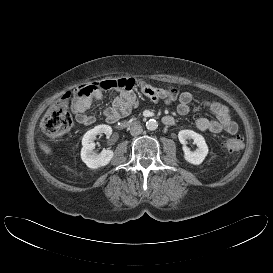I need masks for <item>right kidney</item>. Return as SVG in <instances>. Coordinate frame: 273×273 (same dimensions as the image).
<instances>
[{
	"label": "right kidney",
	"mask_w": 273,
	"mask_h": 273,
	"mask_svg": "<svg viewBox=\"0 0 273 273\" xmlns=\"http://www.w3.org/2000/svg\"><path fill=\"white\" fill-rule=\"evenodd\" d=\"M106 134L110 136L112 134V128L109 125H98L93 129L87 131L82 138L81 158L82 161L91 169H97L99 167L106 166L113 158L114 152L109 149H103L99 154L94 151L97 135Z\"/></svg>",
	"instance_id": "obj_1"
}]
</instances>
